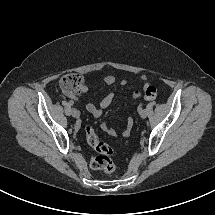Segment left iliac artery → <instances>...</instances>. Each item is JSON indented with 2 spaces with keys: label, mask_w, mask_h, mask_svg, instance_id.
<instances>
[{
  "label": "left iliac artery",
  "mask_w": 215,
  "mask_h": 215,
  "mask_svg": "<svg viewBox=\"0 0 215 215\" xmlns=\"http://www.w3.org/2000/svg\"><path fill=\"white\" fill-rule=\"evenodd\" d=\"M137 112H138V113H142V112H143V109H142V108H138V109H137Z\"/></svg>",
  "instance_id": "44dca946"
}]
</instances>
